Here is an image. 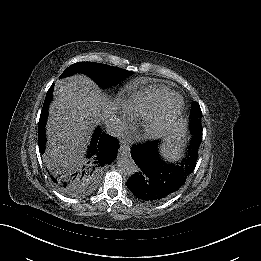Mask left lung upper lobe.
I'll return each instance as SVG.
<instances>
[{
    "instance_id": "left-lung-upper-lobe-1",
    "label": "left lung upper lobe",
    "mask_w": 261,
    "mask_h": 261,
    "mask_svg": "<svg viewBox=\"0 0 261 261\" xmlns=\"http://www.w3.org/2000/svg\"><path fill=\"white\" fill-rule=\"evenodd\" d=\"M201 117L202 112L200 106L194 101L190 111V118L192 120L191 129L194 137L197 139H202Z\"/></svg>"
}]
</instances>
